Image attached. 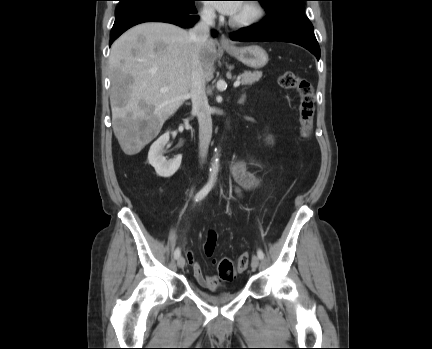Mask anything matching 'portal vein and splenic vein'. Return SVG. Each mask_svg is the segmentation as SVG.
Here are the masks:
<instances>
[{"label": "portal vein and splenic vein", "mask_w": 432, "mask_h": 349, "mask_svg": "<svg viewBox=\"0 0 432 349\" xmlns=\"http://www.w3.org/2000/svg\"><path fill=\"white\" fill-rule=\"evenodd\" d=\"M240 83H241V81L238 79L234 82L233 86L238 87L240 85ZM162 91H164V90H162Z\"/></svg>", "instance_id": "portal-vein-and-splenic-vein-1"}]
</instances>
